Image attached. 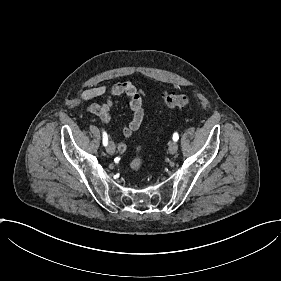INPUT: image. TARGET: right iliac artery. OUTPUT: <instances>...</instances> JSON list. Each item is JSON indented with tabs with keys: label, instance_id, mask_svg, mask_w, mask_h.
Segmentation results:
<instances>
[{
	"label": "right iliac artery",
	"instance_id": "1",
	"mask_svg": "<svg viewBox=\"0 0 281 281\" xmlns=\"http://www.w3.org/2000/svg\"><path fill=\"white\" fill-rule=\"evenodd\" d=\"M107 144H108V137L106 132H103V145L107 146Z\"/></svg>",
	"mask_w": 281,
	"mask_h": 281
}]
</instances>
